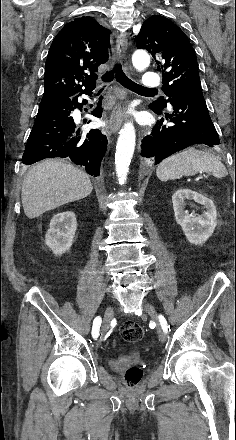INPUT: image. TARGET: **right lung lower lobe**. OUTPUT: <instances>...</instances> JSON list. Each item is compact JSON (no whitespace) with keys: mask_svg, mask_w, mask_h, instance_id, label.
I'll return each instance as SVG.
<instances>
[{"mask_svg":"<svg viewBox=\"0 0 236 440\" xmlns=\"http://www.w3.org/2000/svg\"><path fill=\"white\" fill-rule=\"evenodd\" d=\"M85 94L91 96L92 93ZM79 96L41 101L23 154L25 165L46 158H69L85 167L88 174L99 176L107 138L97 129L77 128L72 113L76 108L81 111L87 103L85 99L80 103ZM101 99L92 111L98 118L102 115Z\"/></svg>","mask_w":236,"mask_h":440,"instance_id":"right-lung-lower-lobe-1","label":"right lung lower lobe"}]
</instances>
